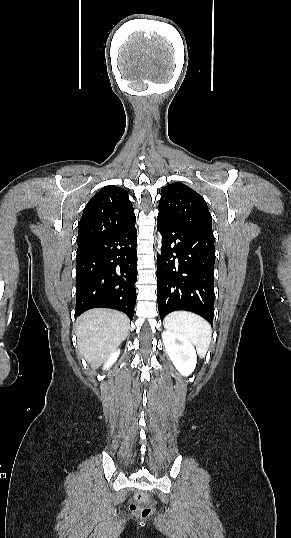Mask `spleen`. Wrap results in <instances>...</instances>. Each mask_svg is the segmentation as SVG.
I'll use <instances>...</instances> for the list:
<instances>
[{
    "mask_svg": "<svg viewBox=\"0 0 291 538\" xmlns=\"http://www.w3.org/2000/svg\"><path fill=\"white\" fill-rule=\"evenodd\" d=\"M164 327L188 338L197 349L201 358L205 357L212 338L210 324L197 314L174 311L164 319Z\"/></svg>",
    "mask_w": 291,
    "mask_h": 538,
    "instance_id": "1",
    "label": "spleen"
}]
</instances>
